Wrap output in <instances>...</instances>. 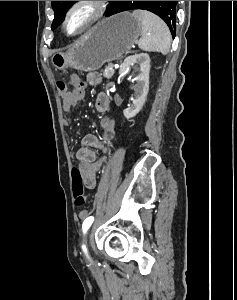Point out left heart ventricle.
Returning a JSON list of instances; mask_svg holds the SVG:
<instances>
[{
  "mask_svg": "<svg viewBox=\"0 0 237 300\" xmlns=\"http://www.w3.org/2000/svg\"><path fill=\"white\" fill-rule=\"evenodd\" d=\"M85 13L86 12L83 11L73 17V19L71 20V22L68 26L69 31H75L78 28V26L80 25V23L82 22V20L84 19L85 15H86Z\"/></svg>",
  "mask_w": 237,
  "mask_h": 300,
  "instance_id": "1",
  "label": "left heart ventricle"
}]
</instances>
